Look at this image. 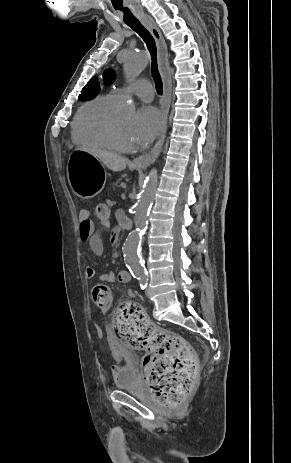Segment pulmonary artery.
<instances>
[{
    "mask_svg": "<svg viewBox=\"0 0 291 463\" xmlns=\"http://www.w3.org/2000/svg\"><path fill=\"white\" fill-rule=\"evenodd\" d=\"M116 101H121L125 96L132 95L145 102H150L153 99L154 90L151 83L146 79H139L135 83L127 86L114 88L111 90Z\"/></svg>",
    "mask_w": 291,
    "mask_h": 463,
    "instance_id": "1",
    "label": "pulmonary artery"
}]
</instances>
